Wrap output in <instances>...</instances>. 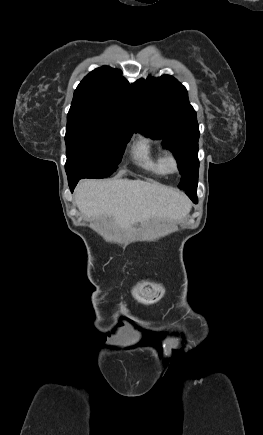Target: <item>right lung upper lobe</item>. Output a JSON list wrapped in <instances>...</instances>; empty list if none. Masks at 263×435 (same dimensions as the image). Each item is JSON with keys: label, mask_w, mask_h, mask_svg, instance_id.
<instances>
[{"label": "right lung upper lobe", "mask_w": 263, "mask_h": 435, "mask_svg": "<svg viewBox=\"0 0 263 435\" xmlns=\"http://www.w3.org/2000/svg\"><path fill=\"white\" fill-rule=\"evenodd\" d=\"M133 92L121 70L108 66L90 72L77 86L68 116L83 115L120 129H135Z\"/></svg>", "instance_id": "right-lung-upper-lobe-1"}]
</instances>
